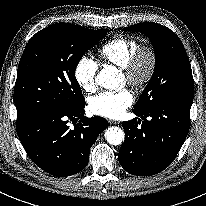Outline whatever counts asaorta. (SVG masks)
I'll return each instance as SVG.
<instances>
[{"label": "aorta", "instance_id": "obj_1", "mask_svg": "<svg viewBox=\"0 0 206 206\" xmlns=\"http://www.w3.org/2000/svg\"><path fill=\"white\" fill-rule=\"evenodd\" d=\"M118 70L115 67H107L97 74L95 80L105 89H114L117 85ZM124 132L119 127H109L105 132V139L111 145H120L124 141Z\"/></svg>", "mask_w": 206, "mask_h": 206}]
</instances>
